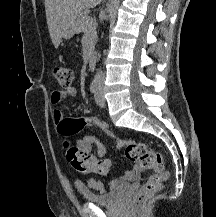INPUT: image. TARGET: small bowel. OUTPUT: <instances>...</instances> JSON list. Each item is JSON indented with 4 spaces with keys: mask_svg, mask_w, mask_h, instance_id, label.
<instances>
[{
    "mask_svg": "<svg viewBox=\"0 0 216 217\" xmlns=\"http://www.w3.org/2000/svg\"><path fill=\"white\" fill-rule=\"evenodd\" d=\"M76 93L77 91L74 87H69V88H65L62 90H56L52 92L51 94V103L53 105H58L64 100H66L67 98L75 96ZM52 118L58 129L60 125L66 120L63 112L59 108H55L53 110ZM77 146L89 154L91 152L92 147H95L96 154L95 155L90 154L92 158L95 161H100V160L106 161L108 164L106 171L99 172V173L95 172V173L106 174L108 172L111 162L108 159H103V157L106 154V148H105V145L97 137L92 136V135H86L78 141ZM139 171H141V169L135 165L130 171H128L121 178L111 180L108 183V187L113 188L116 185H118L120 182L131 180L135 178V176L137 175ZM79 186L83 187V184L80 183ZM87 186L97 191H104L106 189L105 184L97 178H89L87 180Z\"/></svg>",
    "mask_w": 216,
    "mask_h": 217,
    "instance_id": "1",
    "label": "small bowel"
}]
</instances>
